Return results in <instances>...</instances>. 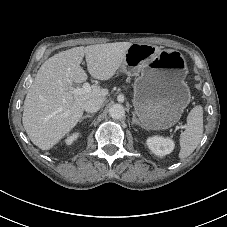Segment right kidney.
Wrapping results in <instances>:
<instances>
[{
  "instance_id": "1",
  "label": "right kidney",
  "mask_w": 227,
  "mask_h": 227,
  "mask_svg": "<svg viewBox=\"0 0 227 227\" xmlns=\"http://www.w3.org/2000/svg\"><path fill=\"white\" fill-rule=\"evenodd\" d=\"M79 137V132H75L65 139L67 145H71Z\"/></svg>"
}]
</instances>
